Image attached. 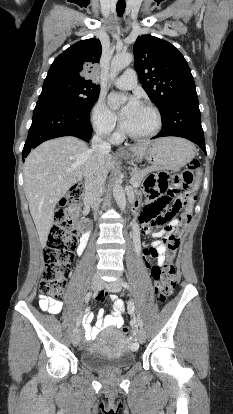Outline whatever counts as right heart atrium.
<instances>
[{
    "label": "right heart atrium",
    "mask_w": 233,
    "mask_h": 414,
    "mask_svg": "<svg viewBox=\"0 0 233 414\" xmlns=\"http://www.w3.org/2000/svg\"><path fill=\"white\" fill-rule=\"evenodd\" d=\"M90 122L99 135L111 138L116 136L117 118L102 98H99L93 105L90 111Z\"/></svg>",
    "instance_id": "d8ad5b80"
}]
</instances>
